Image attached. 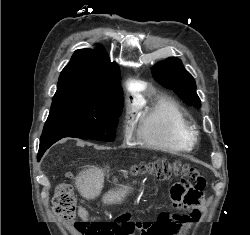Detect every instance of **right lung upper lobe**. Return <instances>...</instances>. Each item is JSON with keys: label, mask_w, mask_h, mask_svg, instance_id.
Instances as JSON below:
<instances>
[{"label": "right lung upper lobe", "mask_w": 250, "mask_h": 235, "mask_svg": "<svg viewBox=\"0 0 250 235\" xmlns=\"http://www.w3.org/2000/svg\"><path fill=\"white\" fill-rule=\"evenodd\" d=\"M102 48V46H99ZM122 94L119 84V67L105 56L102 50L75 51L69 64L60 74L57 91L53 97L111 96Z\"/></svg>", "instance_id": "cb5924a9"}]
</instances>
